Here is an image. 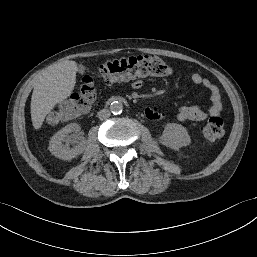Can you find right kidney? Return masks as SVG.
<instances>
[{
    "instance_id": "1",
    "label": "right kidney",
    "mask_w": 257,
    "mask_h": 257,
    "mask_svg": "<svg viewBox=\"0 0 257 257\" xmlns=\"http://www.w3.org/2000/svg\"><path fill=\"white\" fill-rule=\"evenodd\" d=\"M80 126L76 123H71L59 130L49 142V151L57 158L62 160H71L83 153L85 143L83 136L80 134ZM74 132L71 136L69 134ZM66 143V145L63 144ZM70 148L69 144H76Z\"/></svg>"
}]
</instances>
